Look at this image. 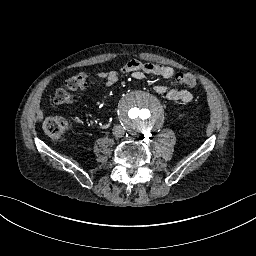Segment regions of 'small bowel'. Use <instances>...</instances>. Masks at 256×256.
Here are the masks:
<instances>
[{
    "instance_id": "1",
    "label": "small bowel",
    "mask_w": 256,
    "mask_h": 256,
    "mask_svg": "<svg viewBox=\"0 0 256 256\" xmlns=\"http://www.w3.org/2000/svg\"><path fill=\"white\" fill-rule=\"evenodd\" d=\"M123 73H132L137 79H141L145 74H152L168 80L175 77V70L171 66L143 63L133 59L128 61L122 68ZM99 81L107 87L113 86L119 79V71H99L96 74ZM155 91L159 95L165 96L170 101L190 102L193 98L190 91L186 89H168L164 84L155 86Z\"/></svg>"
}]
</instances>
